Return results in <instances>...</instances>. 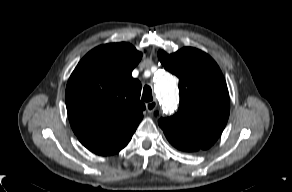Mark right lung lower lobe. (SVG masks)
<instances>
[{"instance_id":"obj_1","label":"right lung lower lobe","mask_w":292,"mask_h":192,"mask_svg":"<svg viewBox=\"0 0 292 192\" xmlns=\"http://www.w3.org/2000/svg\"><path fill=\"white\" fill-rule=\"evenodd\" d=\"M126 146V145H125ZM125 146H122L120 148H117L115 150H110V151H101V152H94L98 155H111V154H114V153H117L118 151H120L122 148H124Z\"/></svg>"}]
</instances>
